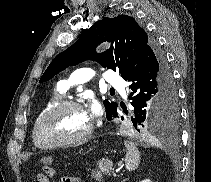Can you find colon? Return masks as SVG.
<instances>
[{
    "mask_svg": "<svg viewBox=\"0 0 211 182\" xmlns=\"http://www.w3.org/2000/svg\"><path fill=\"white\" fill-rule=\"evenodd\" d=\"M43 172H44V174H39V175L36 176V178L34 179V182H46L47 177H51L54 174L53 168L49 165L43 167ZM93 177L97 181H100L101 178H102L101 174L98 171L93 172Z\"/></svg>",
    "mask_w": 211,
    "mask_h": 182,
    "instance_id": "obj_1",
    "label": "colon"
}]
</instances>
